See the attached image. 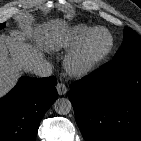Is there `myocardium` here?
Segmentation results:
<instances>
[{"instance_id":"1","label":"myocardium","mask_w":141,"mask_h":141,"mask_svg":"<svg viewBox=\"0 0 141 141\" xmlns=\"http://www.w3.org/2000/svg\"><path fill=\"white\" fill-rule=\"evenodd\" d=\"M104 32L109 38L106 49L97 56L87 57L86 48L91 38L99 33ZM114 47V37L112 33L105 27L93 28L82 41L69 53L66 58V69L75 77H84L94 72L109 57Z\"/></svg>"}]
</instances>
